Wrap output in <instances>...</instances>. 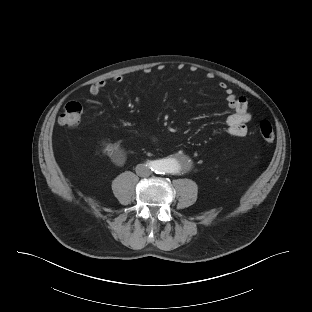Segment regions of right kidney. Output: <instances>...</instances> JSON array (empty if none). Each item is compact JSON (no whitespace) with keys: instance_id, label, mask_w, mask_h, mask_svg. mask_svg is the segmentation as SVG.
I'll return each instance as SVG.
<instances>
[{"instance_id":"ca27d5eb","label":"right kidney","mask_w":312,"mask_h":312,"mask_svg":"<svg viewBox=\"0 0 312 312\" xmlns=\"http://www.w3.org/2000/svg\"><path fill=\"white\" fill-rule=\"evenodd\" d=\"M108 151H111L110 155H113L112 156L113 158H117L118 155H122V151L121 150H116V149H113V148H109Z\"/></svg>"}]
</instances>
